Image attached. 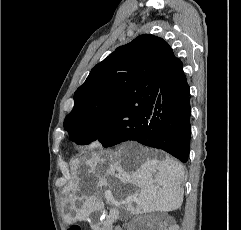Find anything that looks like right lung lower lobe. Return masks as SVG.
Returning <instances> with one entry per match:
<instances>
[{
  "mask_svg": "<svg viewBox=\"0 0 241 230\" xmlns=\"http://www.w3.org/2000/svg\"><path fill=\"white\" fill-rule=\"evenodd\" d=\"M148 126L127 140L165 150L183 162L188 160L191 137L190 87L180 59L163 76L157 96L146 105Z\"/></svg>",
  "mask_w": 241,
  "mask_h": 230,
  "instance_id": "98d812e1",
  "label": "right lung lower lobe"
}]
</instances>
